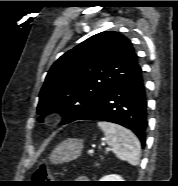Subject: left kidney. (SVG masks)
<instances>
[{"instance_id": "obj_1", "label": "left kidney", "mask_w": 178, "mask_h": 186, "mask_svg": "<svg viewBox=\"0 0 178 186\" xmlns=\"http://www.w3.org/2000/svg\"><path fill=\"white\" fill-rule=\"evenodd\" d=\"M101 181H123L119 175H107Z\"/></svg>"}]
</instances>
